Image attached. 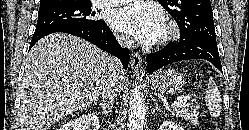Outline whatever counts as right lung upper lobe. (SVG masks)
Wrapping results in <instances>:
<instances>
[{"label": "right lung upper lobe", "mask_w": 249, "mask_h": 130, "mask_svg": "<svg viewBox=\"0 0 249 130\" xmlns=\"http://www.w3.org/2000/svg\"><path fill=\"white\" fill-rule=\"evenodd\" d=\"M76 1H78V0H41L40 7L63 5V4H69L72 2H76ZM84 1H86V0H84Z\"/></svg>", "instance_id": "1"}]
</instances>
